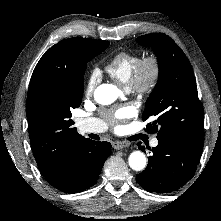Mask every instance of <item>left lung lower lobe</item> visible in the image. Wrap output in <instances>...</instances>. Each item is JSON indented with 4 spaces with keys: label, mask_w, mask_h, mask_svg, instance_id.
<instances>
[{
    "label": "left lung lower lobe",
    "mask_w": 221,
    "mask_h": 221,
    "mask_svg": "<svg viewBox=\"0 0 221 221\" xmlns=\"http://www.w3.org/2000/svg\"><path fill=\"white\" fill-rule=\"evenodd\" d=\"M203 145V139H158L146 169L137 175L136 181L150 192L167 193L179 189L193 177ZM139 149L143 151L144 147L140 145Z\"/></svg>",
    "instance_id": "0a47b994"
}]
</instances>
